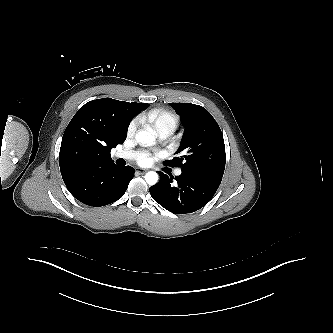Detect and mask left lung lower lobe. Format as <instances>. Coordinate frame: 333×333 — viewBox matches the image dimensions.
<instances>
[{
    "label": "left lung lower lobe",
    "mask_w": 333,
    "mask_h": 333,
    "mask_svg": "<svg viewBox=\"0 0 333 333\" xmlns=\"http://www.w3.org/2000/svg\"><path fill=\"white\" fill-rule=\"evenodd\" d=\"M160 181L150 187L152 198L176 214L192 213L204 207L217 191L222 177L206 173H184L168 177L159 172Z\"/></svg>",
    "instance_id": "obj_1"
}]
</instances>
